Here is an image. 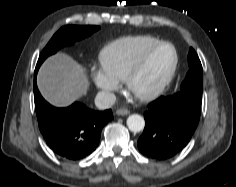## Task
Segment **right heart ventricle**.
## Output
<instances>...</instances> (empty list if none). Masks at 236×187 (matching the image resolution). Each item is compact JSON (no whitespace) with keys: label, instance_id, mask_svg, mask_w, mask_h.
Listing matches in <instances>:
<instances>
[{"label":"right heart ventricle","instance_id":"1","mask_svg":"<svg viewBox=\"0 0 236 187\" xmlns=\"http://www.w3.org/2000/svg\"><path fill=\"white\" fill-rule=\"evenodd\" d=\"M157 42L159 39L150 35L119 38L100 51V63L108 73L124 81L144 51Z\"/></svg>","mask_w":236,"mask_h":187}]
</instances>
